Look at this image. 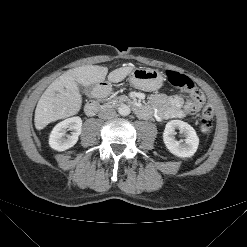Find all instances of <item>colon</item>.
Wrapping results in <instances>:
<instances>
[{
	"label": "colon",
	"instance_id": "obj_1",
	"mask_svg": "<svg viewBox=\"0 0 247 247\" xmlns=\"http://www.w3.org/2000/svg\"><path fill=\"white\" fill-rule=\"evenodd\" d=\"M166 79L172 86L189 93L192 97L193 101L187 103L185 106L187 113H196L201 109L204 102V95L190 77L176 71L168 70L166 71ZM213 115L212 106L205 105L202 109L199 122L201 131L205 134H209L212 131Z\"/></svg>",
	"mask_w": 247,
	"mask_h": 247
}]
</instances>
